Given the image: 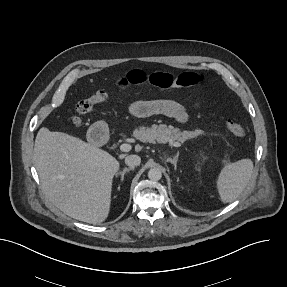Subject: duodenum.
I'll return each mask as SVG.
<instances>
[{"mask_svg":"<svg viewBox=\"0 0 287 287\" xmlns=\"http://www.w3.org/2000/svg\"><path fill=\"white\" fill-rule=\"evenodd\" d=\"M90 139L93 143H106L109 141L108 131L104 126L98 125L92 130Z\"/></svg>","mask_w":287,"mask_h":287,"instance_id":"410a0bca","label":"duodenum"}]
</instances>
